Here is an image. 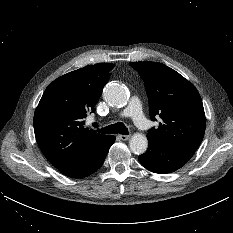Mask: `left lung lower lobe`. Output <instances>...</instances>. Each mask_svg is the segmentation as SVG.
Here are the masks:
<instances>
[{
    "instance_id": "0a47b994",
    "label": "left lung lower lobe",
    "mask_w": 233,
    "mask_h": 233,
    "mask_svg": "<svg viewBox=\"0 0 233 233\" xmlns=\"http://www.w3.org/2000/svg\"><path fill=\"white\" fill-rule=\"evenodd\" d=\"M195 150L183 147L164 146L148 140L147 151L138 157L143 167L151 172L166 174L184 166Z\"/></svg>"
}]
</instances>
